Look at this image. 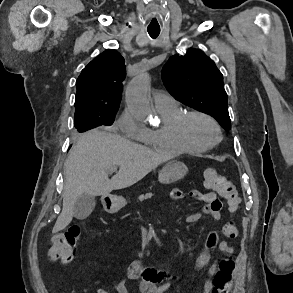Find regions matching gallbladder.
Here are the masks:
<instances>
[{"label": "gallbladder", "instance_id": "obj_1", "mask_svg": "<svg viewBox=\"0 0 293 293\" xmlns=\"http://www.w3.org/2000/svg\"><path fill=\"white\" fill-rule=\"evenodd\" d=\"M95 205L96 200L94 196L83 194L74 204L73 216L79 220L85 219L91 214Z\"/></svg>", "mask_w": 293, "mask_h": 293}]
</instances>
